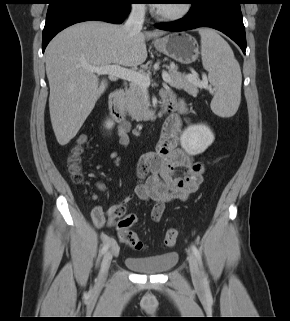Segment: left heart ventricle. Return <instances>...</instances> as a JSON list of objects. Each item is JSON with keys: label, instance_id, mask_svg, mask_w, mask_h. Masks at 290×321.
<instances>
[{"label": "left heart ventricle", "instance_id": "left-heart-ventricle-1", "mask_svg": "<svg viewBox=\"0 0 290 321\" xmlns=\"http://www.w3.org/2000/svg\"><path fill=\"white\" fill-rule=\"evenodd\" d=\"M180 2H171L168 1L167 3H163L158 5V8L164 11H172L174 9H176L177 7H179Z\"/></svg>", "mask_w": 290, "mask_h": 321}]
</instances>
